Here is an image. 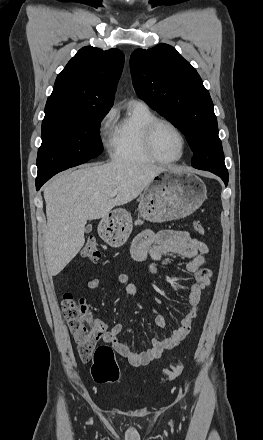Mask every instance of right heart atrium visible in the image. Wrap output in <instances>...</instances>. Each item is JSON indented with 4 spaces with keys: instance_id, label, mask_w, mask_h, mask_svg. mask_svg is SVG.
Instances as JSON below:
<instances>
[{
    "instance_id": "1",
    "label": "right heart atrium",
    "mask_w": 263,
    "mask_h": 440,
    "mask_svg": "<svg viewBox=\"0 0 263 440\" xmlns=\"http://www.w3.org/2000/svg\"><path fill=\"white\" fill-rule=\"evenodd\" d=\"M115 118V111L110 109L107 111L100 120L99 134L104 146L111 150L112 139L114 134L113 121Z\"/></svg>"
}]
</instances>
